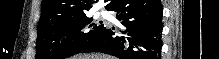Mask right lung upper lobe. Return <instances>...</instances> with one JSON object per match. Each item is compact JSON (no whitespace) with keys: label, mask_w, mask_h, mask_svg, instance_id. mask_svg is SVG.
<instances>
[{"label":"right lung upper lobe","mask_w":219,"mask_h":59,"mask_svg":"<svg viewBox=\"0 0 219 59\" xmlns=\"http://www.w3.org/2000/svg\"><path fill=\"white\" fill-rule=\"evenodd\" d=\"M113 2L114 0H111L105 8L108 10ZM91 3L93 0H43L38 27L53 20L86 14Z\"/></svg>","instance_id":"1"}]
</instances>
